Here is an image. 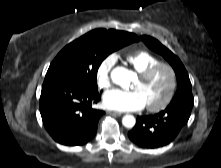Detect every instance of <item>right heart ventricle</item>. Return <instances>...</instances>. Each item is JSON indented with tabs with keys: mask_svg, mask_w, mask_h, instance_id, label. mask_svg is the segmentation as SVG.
<instances>
[{
	"mask_svg": "<svg viewBox=\"0 0 221 168\" xmlns=\"http://www.w3.org/2000/svg\"><path fill=\"white\" fill-rule=\"evenodd\" d=\"M126 60L137 73H141L147 68L160 63L158 57L147 51H137L128 54Z\"/></svg>",
	"mask_w": 221,
	"mask_h": 168,
	"instance_id": "e07e8e85",
	"label": "right heart ventricle"
}]
</instances>
